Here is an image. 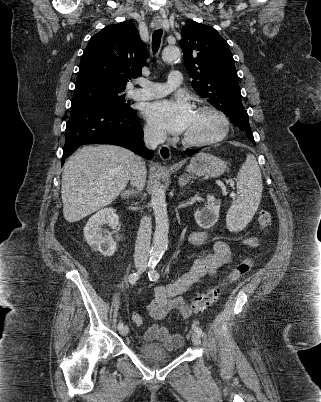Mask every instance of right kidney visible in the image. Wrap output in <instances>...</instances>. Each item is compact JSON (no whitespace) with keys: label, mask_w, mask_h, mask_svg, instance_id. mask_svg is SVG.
I'll list each match as a JSON object with an SVG mask.
<instances>
[{"label":"right kidney","mask_w":321,"mask_h":402,"mask_svg":"<svg viewBox=\"0 0 321 402\" xmlns=\"http://www.w3.org/2000/svg\"><path fill=\"white\" fill-rule=\"evenodd\" d=\"M109 223V226L115 230H120V222L113 208H104L91 216L84 227V237L87 243L94 247L104 256H112L116 251V242L111 233L103 236L101 225Z\"/></svg>","instance_id":"ca27d5eb"}]
</instances>
